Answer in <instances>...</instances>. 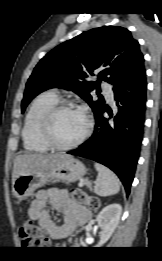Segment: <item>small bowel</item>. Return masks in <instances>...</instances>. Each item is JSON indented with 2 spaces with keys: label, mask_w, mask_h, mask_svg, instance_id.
<instances>
[{
  "label": "small bowel",
  "mask_w": 162,
  "mask_h": 261,
  "mask_svg": "<svg viewBox=\"0 0 162 261\" xmlns=\"http://www.w3.org/2000/svg\"><path fill=\"white\" fill-rule=\"evenodd\" d=\"M49 205L65 215V231H71L76 228L77 222L74 215L80 211V208L74 204L64 190L37 192L35 199L28 209L29 217L36 220L51 236L59 234V229L56 227L49 214Z\"/></svg>",
  "instance_id": "c3829d8e"
}]
</instances>
